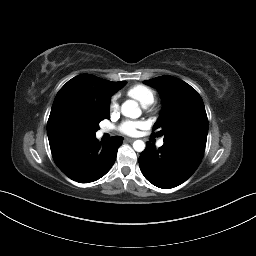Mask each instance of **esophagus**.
<instances>
[{
	"instance_id": "esophagus-1",
	"label": "esophagus",
	"mask_w": 256,
	"mask_h": 256,
	"mask_svg": "<svg viewBox=\"0 0 256 256\" xmlns=\"http://www.w3.org/2000/svg\"><path fill=\"white\" fill-rule=\"evenodd\" d=\"M135 139L133 138H125V142H133Z\"/></svg>"
}]
</instances>
